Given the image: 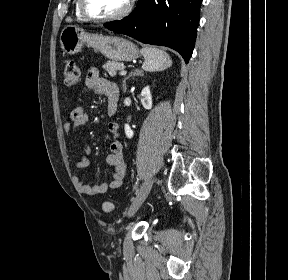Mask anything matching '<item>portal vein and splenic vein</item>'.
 Returning a JSON list of instances; mask_svg holds the SVG:
<instances>
[{
  "instance_id": "18ae733b",
  "label": "portal vein and splenic vein",
  "mask_w": 288,
  "mask_h": 280,
  "mask_svg": "<svg viewBox=\"0 0 288 280\" xmlns=\"http://www.w3.org/2000/svg\"><path fill=\"white\" fill-rule=\"evenodd\" d=\"M127 71H125L123 68L120 69V75H126Z\"/></svg>"
}]
</instances>
